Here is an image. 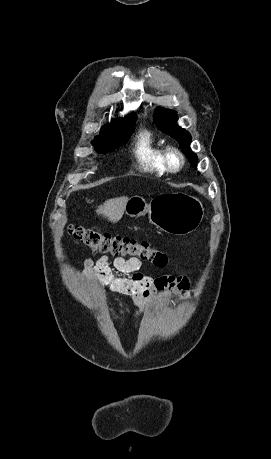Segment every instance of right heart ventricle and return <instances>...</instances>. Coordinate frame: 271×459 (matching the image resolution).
<instances>
[{
    "label": "right heart ventricle",
    "mask_w": 271,
    "mask_h": 459,
    "mask_svg": "<svg viewBox=\"0 0 271 459\" xmlns=\"http://www.w3.org/2000/svg\"><path fill=\"white\" fill-rule=\"evenodd\" d=\"M163 148V143L151 130H141L136 137L133 150L138 169L156 176L166 175L168 170L163 162Z\"/></svg>",
    "instance_id": "e07e8e85"
}]
</instances>
